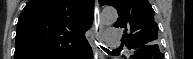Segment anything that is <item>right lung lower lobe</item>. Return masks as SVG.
<instances>
[{"label": "right lung lower lobe", "instance_id": "1", "mask_svg": "<svg viewBox=\"0 0 193 59\" xmlns=\"http://www.w3.org/2000/svg\"><path fill=\"white\" fill-rule=\"evenodd\" d=\"M66 59H93V52L88 42H86L81 48Z\"/></svg>", "mask_w": 193, "mask_h": 59}]
</instances>
